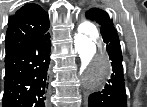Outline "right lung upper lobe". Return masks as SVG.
I'll use <instances>...</instances> for the list:
<instances>
[{"mask_svg":"<svg viewBox=\"0 0 147 107\" xmlns=\"http://www.w3.org/2000/svg\"><path fill=\"white\" fill-rule=\"evenodd\" d=\"M48 29V13L37 4L24 5L9 20L5 42L6 56L46 34Z\"/></svg>","mask_w":147,"mask_h":107,"instance_id":"obj_1","label":"right lung upper lobe"}]
</instances>
